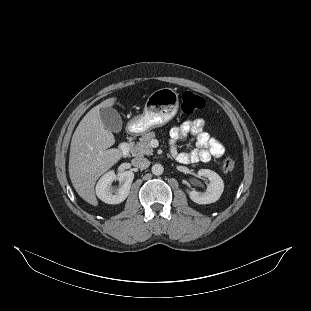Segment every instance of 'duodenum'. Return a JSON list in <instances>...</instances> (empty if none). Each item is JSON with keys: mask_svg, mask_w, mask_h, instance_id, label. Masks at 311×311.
<instances>
[{"mask_svg": "<svg viewBox=\"0 0 311 311\" xmlns=\"http://www.w3.org/2000/svg\"><path fill=\"white\" fill-rule=\"evenodd\" d=\"M130 149H131L130 139H128L125 142H122L119 145V151L122 156H126L130 152Z\"/></svg>", "mask_w": 311, "mask_h": 311, "instance_id": "410a0bca", "label": "duodenum"}]
</instances>
